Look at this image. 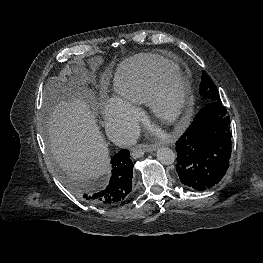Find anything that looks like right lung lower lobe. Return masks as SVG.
Instances as JSON below:
<instances>
[{
	"label": "right lung lower lobe",
	"mask_w": 263,
	"mask_h": 263,
	"mask_svg": "<svg viewBox=\"0 0 263 263\" xmlns=\"http://www.w3.org/2000/svg\"><path fill=\"white\" fill-rule=\"evenodd\" d=\"M112 176L109 184L99 192H81L84 201L102 206L122 202L132 190L133 163L128 150L122 149L111 159Z\"/></svg>",
	"instance_id": "right-lung-lower-lobe-1"
}]
</instances>
